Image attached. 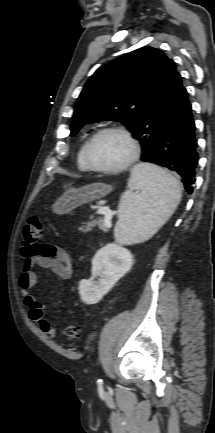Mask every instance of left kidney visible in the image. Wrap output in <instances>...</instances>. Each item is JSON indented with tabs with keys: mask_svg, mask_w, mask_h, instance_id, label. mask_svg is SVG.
<instances>
[{
	"mask_svg": "<svg viewBox=\"0 0 215 433\" xmlns=\"http://www.w3.org/2000/svg\"><path fill=\"white\" fill-rule=\"evenodd\" d=\"M131 252L115 243H109L97 251L92 259V277L79 283L81 300L96 304L133 265ZM99 276V280L94 279Z\"/></svg>",
	"mask_w": 215,
	"mask_h": 433,
	"instance_id": "left-kidney-1",
	"label": "left kidney"
}]
</instances>
